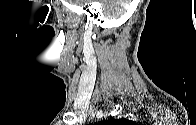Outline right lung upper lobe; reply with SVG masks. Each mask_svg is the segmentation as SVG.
<instances>
[{
  "label": "right lung upper lobe",
  "instance_id": "obj_1",
  "mask_svg": "<svg viewBox=\"0 0 196 125\" xmlns=\"http://www.w3.org/2000/svg\"><path fill=\"white\" fill-rule=\"evenodd\" d=\"M109 122L114 123V122H122V123H129L127 120L124 119H111Z\"/></svg>",
  "mask_w": 196,
  "mask_h": 125
}]
</instances>
